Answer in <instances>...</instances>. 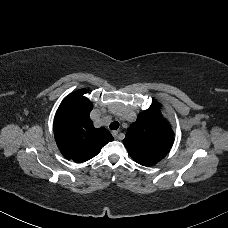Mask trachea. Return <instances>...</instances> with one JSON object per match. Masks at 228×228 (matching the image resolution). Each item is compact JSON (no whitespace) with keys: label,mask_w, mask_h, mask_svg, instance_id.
Returning <instances> with one entry per match:
<instances>
[{"label":"trachea","mask_w":228,"mask_h":228,"mask_svg":"<svg viewBox=\"0 0 228 228\" xmlns=\"http://www.w3.org/2000/svg\"><path fill=\"white\" fill-rule=\"evenodd\" d=\"M119 126H120V124L118 121H113L109 127L111 130H117L119 128Z\"/></svg>","instance_id":"trachea-1"}]
</instances>
